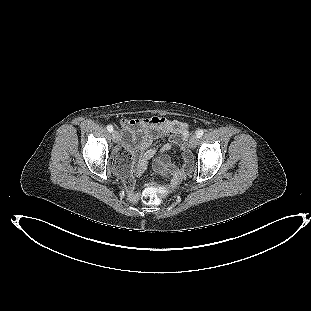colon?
I'll return each mask as SVG.
<instances>
[{
    "instance_id": "obj_1",
    "label": "colon",
    "mask_w": 311,
    "mask_h": 311,
    "mask_svg": "<svg viewBox=\"0 0 311 311\" xmlns=\"http://www.w3.org/2000/svg\"><path fill=\"white\" fill-rule=\"evenodd\" d=\"M118 166L121 170H124L126 167V161H124L121 165L118 164ZM170 193L171 190L168 187L151 184L143 191L142 199L149 205H157L163 198L169 196Z\"/></svg>"
}]
</instances>
